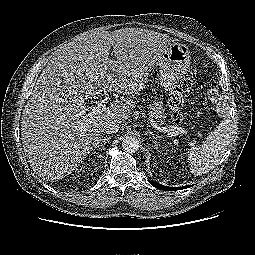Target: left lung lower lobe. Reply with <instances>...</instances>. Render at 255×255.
Returning a JSON list of instances; mask_svg holds the SVG:
<instances>
[{
    "label": "left lung lower lobe",
    "instance_id": "0a47b994",
    "mask_svg": "<svg viewBox=\"0 0 255 255\" xmlns=\"http://www.w3.org/2000/svg\"><path fill=\"white\" fill-rule=\"evenodd\" d=\"M154 187L158 188V189H161L163 191H174V190H181L183 188H188L190 186H184V187H167V186H164V185H161L157 182H151L149 181Z\"/></svg>",
    "mask_w": 255,
    "mask_h": 255
}]
</instances>
